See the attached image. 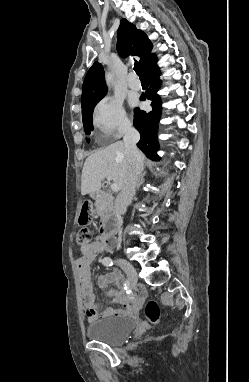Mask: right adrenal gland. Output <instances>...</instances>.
<instances>
[{
  "label": "right adrenal gland",
  "mask_w": 249,
  "mask_h": 382,
  "mask_svg": "<svg viewBox=\"0 0 249 382\" xmlns=\"http://www.w3.org/2000/svg\"><path fill=\"white\" fill-rule=\"evenodd\" d=\"M145 174H146V173L143 172V173L140 175V180H139L138 188H139L140 185L143 183Z\"/></svg>",
  "instance_id": "right-adrenal-gland-1"
}]
</instances>
